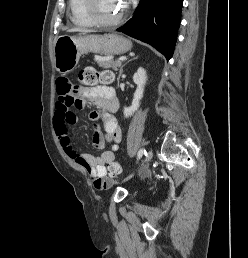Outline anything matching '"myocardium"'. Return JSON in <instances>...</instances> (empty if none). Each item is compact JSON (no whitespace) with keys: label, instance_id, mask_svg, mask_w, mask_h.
<instances>
[{"label":"myocardium","instance_id":"obj_1","mask_svg":"<svg viewBox=\"0 0 248 258\" xmlns=\"http://www.w3.org/2000/svg\"><path fill=\"white\" fill-rule=\"evenodd\" d=\"M84 10L87 15V17L91 20L93 25H98V26H103V27H110V26H115L122 22L124 19V11L115 19L112 20H105L100 18L97 15L96 12V3L97 0H84Z\"/></svg>","mask_w":248,"mask_h":258}]
</instances>
